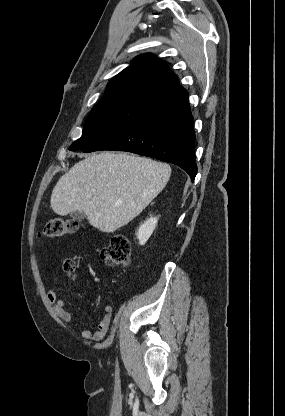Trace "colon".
Returning a JSON list of instances; mask_svg holds the SVG:
<instances>
[{"instance_id": "1", "label": "colon", "mask_w": 285, "mask_h": 416, "mask_svg": "<svg viewBox=\"0 0 285 416\" xmlns=\"http://www.w3.org/2000/svg\"><path fill=\"white\" fill-rule=\"evenodd\" d=\"M79 228L80 224L76 220L56 217L46 223L41 235L52 239L60 238L76 233ZM130 252L128 238L124 235H115L109 245L102 248L100 257L109 266L127 267L130 264ZM63 269L72 275L76 269L74 260L67 258L63 263Z\"/></svg>"}]
</instances>
